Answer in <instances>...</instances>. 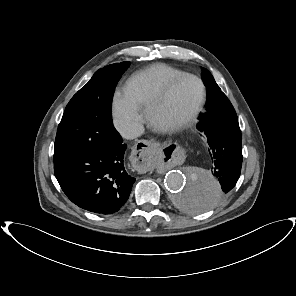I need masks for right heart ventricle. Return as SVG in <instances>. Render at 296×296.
Instances as JSON below:
<instances>
[{"label": "right heart ventricle", "instance_id": "1", "mask_svg": "<svg viewBox=\"0 0 296 296\" xmlns=\"http://www.w3.org/2000/svg\"><path fill=\"white\" fill-rule=\"evenodd\" d=\"M181 74L184 72L175 67L154 64L133 76L126 92L139 108L147 109L167 83Z\"/></svg>", "mask_w": 296, "mask_h": 296}]
</instances>
